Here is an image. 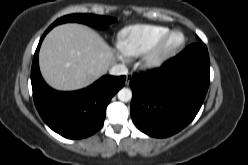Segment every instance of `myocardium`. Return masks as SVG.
I'll use <instances>...</instances> for the list:
<instances>
[{
    "label": "myocardium",
    "mask_w": 248,
    "mask_h": 165,
    "mask_svg": "<svg viewBox=\"0 0 248 165\" xmlns=\"http://www.w3.org/2000/svg\"><path fill=\"white\" fill-rule=\"evenodd\" d=\"M178 35L179 40L173 46L167 47V41L173 36ZM185 37L179 30H169L159 37L152 46L142 55V64L144 67L154 69L162 66L173 56H175L184 46Z\"/></svg>",
    "instance_id": "f54148a6"
}]
</instances>
